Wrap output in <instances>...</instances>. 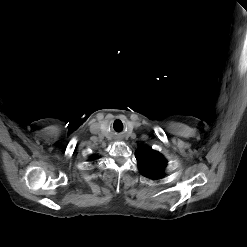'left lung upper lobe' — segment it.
I'll return each instance as SVG.
<instances>
[{"label": "left lung upper lobe", "instance_id": "1", "mask_svg": "<svg viewBox=\"0 0 247 247\" xmlns=\"http://www.w3.org/2000/svg\"><path fill=\"white\" fill-rule=\"evenodd\" d=\"M140 172L150 179L163 177V170L167 165L165 158L157 151L148 147H139L135 152Z\"/></svg>", "mask_w": 247, "mask_h": 247}]
</instances>
